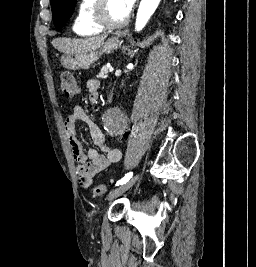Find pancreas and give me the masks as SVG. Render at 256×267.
Wrapping results in <instances>:
<instances>
[{
    "label": "pancreas",
    "mask_w": 256,
    "mask_h": 267,
    "mask_svg": "<svg viewBox=\"0 0 256 267\" xmlns=\"http://www.w3.org/2000/svg\"><path fill=\"white\" fill-rule=\"evenodd\" d=\"M107 74H109V70L107 66H103L100 74H98L99 78H107Z\"/></svg>",
    "instance_id": "cf45deb5"
}]
</instances>
